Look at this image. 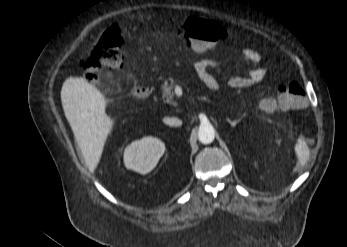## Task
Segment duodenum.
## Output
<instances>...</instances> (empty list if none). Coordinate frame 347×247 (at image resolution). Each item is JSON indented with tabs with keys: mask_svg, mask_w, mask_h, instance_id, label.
<instances>
[{
	"mask_svg": "<svg viewBox=\"0 0 347 247\" xmlns=\"http://www.w3.org/2000/svg\"><path fill=\"white\" fill-rule=\"evenodd\" d=\"M151 92V86L147 84H138L132 89V95L137 98H145L149 96Z\"/></svg>",
	"mask_w": 347,
	"mask_h": 247,
	"instance_id": "1",
	"label": "duodenum"
}]
</instances>
